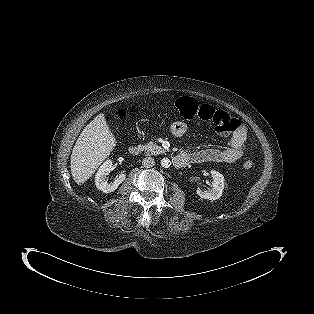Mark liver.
Listing matches in <instances>:
<instances>
[{"mask_svg": "<svg viewBox=\"0 0 314 314\" xmlns=\"http://www.w3.org/2000/svg\"><path fill=\"white\" fill-rule=\"evenodd\" d=\"M116 146L103 114L96 116L82 131L71 154V174L77 184L89 179Z\"/></svg>", "mask_w": 314, "mask_h": 314, "instance_id": "liver-1", "label": "liver"}]
</instances>
